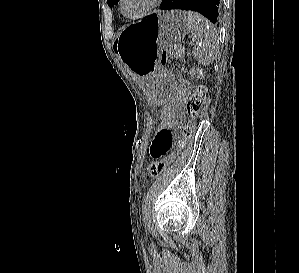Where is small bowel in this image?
Segmentation results:
<instances>
[{"mask_svg":"<svg viewBox=\"0 0 299 273\" xmlns=\"http://www.w3.org/2000/svg\"><path fill=\"white\" fill-rule=\"evenodd\" d=\"M181 128V119H176L168 126L160 127L150 147L152 158L158 159L166 155L174 145L175 137Z\"/></svg>","mask_w":299,"mask_h":273,"instance_id":"obj_1","label":"small bowel"}]
</instances>
